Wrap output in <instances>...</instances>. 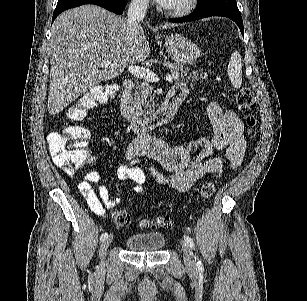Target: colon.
Instances as JSON below:
<instances>
[{
    "mask_svg": "<svg viewBox=\"0 0 307 301\" xmlns=\"http://www.w3.org/2000/svg\"><path fill=\"white\" fill-rule=\"evenodd\" d=\"M118 92L113 84H105L93 87L80 96L66 110L67 124L60 132L52 133L47 138L48 148L55 162L72 172H76L83 166L94 161V157L88 150V130L80 123L89 111L97 106L107 103ZM236 105L239 110L249 112L256 106V100L249 88H242L236 96ZM256 118L252 115L247 117V125L250 135H255ZM214 184L205 182L200 188L202 198H210L214 193ZM112 220L118 226H127L131 222L129 213L123 209H117L112 213ZM167 217L143 219L139 225L143 228H157L167 226Z\"/></svg>",
    "mask_w": 307,
    "mask_h": 301,
    "instance_id": "obj_1",
    "label": "colon"
}]
</instances>
